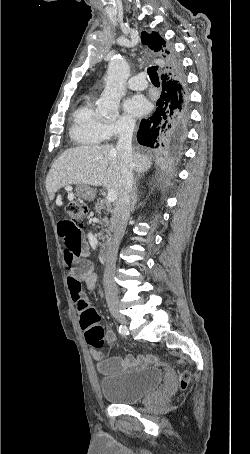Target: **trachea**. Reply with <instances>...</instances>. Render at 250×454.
Wrapping results in <instances>:
<instances>
[{"label":"trachea","mask_w":250,"mask_h":454,"mask_svg":"<svg viewBox=\"0 0 250 454\" xmlns=\"http://www.w3.org/2000/svg\"><path fill=\"white\" fill-rule=\"evenodd\" d=\"M157 70H158L157 66L149 67L147 70L150 80L154 85L159 84V77H158Z\"/></svg>","instance_id":"3493384b"}]
</instances>
